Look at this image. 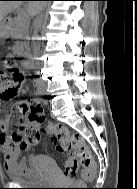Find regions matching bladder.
<instances>
[{
    "instance_id": "obj_1",
    "label": "bladder",
    "mask_w": 137,
    "mask_h": 189,
    "mask_svg": "<svg viewBox=\"0 0 137 189\" xmlns=\"http://www.w3.org/2000/svg\"><path fill=\"white\" fill-rule=\"evenodd\" d=\"M7 175L12 182L23 185H47L59 178L60 171L54 158L40 156L32 166L10 170Z\"/></svg>"
}]
</instances>
